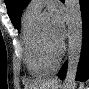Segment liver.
I'll return each instance as SVG.
<instances>
[{
  "label": "liver",
  "mask_w": 89,
  "mask_h": 89,
  "mask_svg": "<svg viewBox=\"0 0 89 89\" xmlns=\"http://www.w3.org/2000/svg\"><path fill=\"white\" fill-rule=\"evenodd\" d=\"M58 85V81L55 79H36L30 81L26 86L25 89H52L54 86Z\"/></svg>",
  "instance_id": "liver-1"
}]
</instances>
